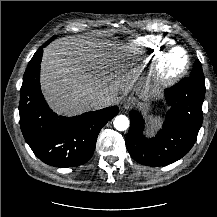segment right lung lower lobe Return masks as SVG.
<instances>
[{
    "mask_svg": "<svg viewBox=\"0 0 217 217\" xmlns=\"http://www.w3.org/2000/svg\"><path fill=\"white\" fill-rule=\"evenodd\" d=\"M44 43L30 60L20 90V127L23 136L44 163L55 167H75L93 155L101 128L119 111L117 106L87 112L76 117L53 113L40 89V63Z\"/></svg>",
    "mask_w": 217,
    "mask_h": 217,
    "instance_id": "1",
    "label": "right lung lower lobe"
}]
</instances>
